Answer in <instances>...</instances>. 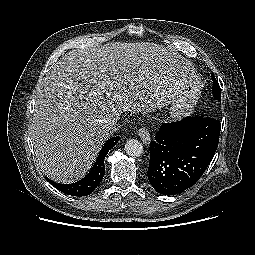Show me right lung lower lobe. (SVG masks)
I'll return each instance as SVG.
<instances>
[{"instance_id": "98d812e1", "label": "right lung lower lobe", "mask_w": 255, "mask_h": 255, "mask_svg": "<svg viewBox=\"0 0 255 255\" xmlns=\"http://www.w3.org/2000/svg\"><path fill=\"white\" fill-rule=\"evenodd\" d=\"M120 137H113L106 141L90 172L80 181L72 184H59L46 177V180L58 190L72 196H86L91 194L105 175L104 159L109 150L117 144Z\"/></svg>"}]
</instances>
